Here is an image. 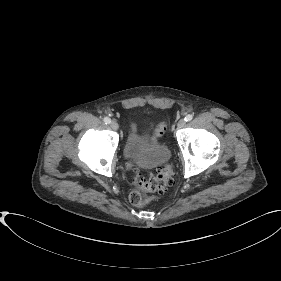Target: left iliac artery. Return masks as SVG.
Here are the masks:
<instances>
[{
	"label": "left iliac artery",
	"instance_id": "44dca946",
	"mask_svg": "<svg viewBox=\"0 0 281 281\" xmlns=\"http://www.w3.org/2000/svg\"><path fill=\"white\" fill-rule=\"evenodd\" d=\"M193 119V115H191V114H188L186 117H185V121H191Z\"/></svg>",
	"mask_w": 281,
	"mask_h": 281
}]
</instances>
